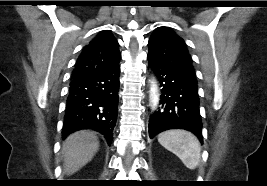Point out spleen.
<instances>
[{
    "instance_id": "1",
    "label": "spleen",
    "mask_w": 267,
    "mask_h": 186,
    "mask_svg": "<svg viewBox=\"0 0 267 186\" xmlns=\"http://www.w3.org/2000/svg\"><path fill=\"white\" fill-rule=\"evenodd\" d=\"M159 143L174 153L191 170L198 167L201 145L196 136L184 130H169L158 136Z\"/></svg>"
}]
</instances>
